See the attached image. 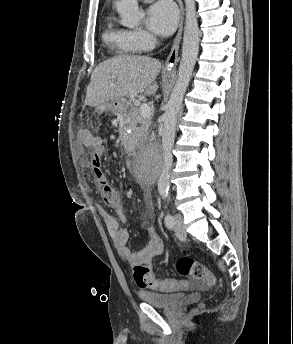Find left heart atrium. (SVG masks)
<instances>
[{"mask_svg": "<svg viewBox=\"0 0 293 344\" xmlns=\"http://www.w3.org/2000/svg\"><path fill=\"white\" fill-rule=\"evenodd\" d=\"M177 20L176 7L170 0H160L148 8L146 23L157 35H170L177 25Z\"/></svg>", "mask_w": 293, "mask_h": 344, "instance_id": "obj_1", "label": "left heart atrium"}]
</instances>
